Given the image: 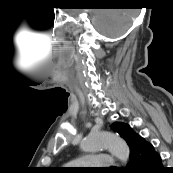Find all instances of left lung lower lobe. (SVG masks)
I'll list each match as a JSON object with an SVG mask.
<instances>
[{"label":"left lung lower lobe","instance_id":"left-lung-lower-lobe-1","mask_svg":"<svg viewBox=\"0 0 173 173\" xmlns=\"http://www.w3.org/2000/svg\"><path fill=\"white\" fill-rule=\"evenodd\" d=\"M161 165V157L153 145L136 134L132 139L129 164L124 173H160Z\"/></svg>","mask_w":173,"mask_h":173}]
</instances>
